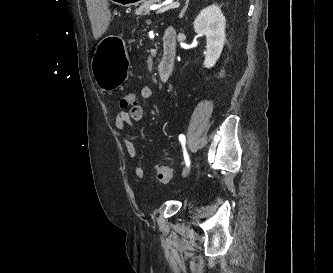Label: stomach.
Masks as SVG:
<instances>
[{
  "label": "stomach",
  "mask_w": 333,
  "mask_h": 273,
  "mask_svg": "<svg viewBox=\"0 0 333 273\" xmlns=\"http://www.w3.org/2000/svg\"><path fill=\"white\" fill-rule=\"evenodd\" d=\"M145 0H112L122 6H137ZM129 59L126 58L122 40L117 36L105 38L98 46L92 61L96 84L103 91L119 87L128 75Z\"/></svg>",
  "instance_id": "0dacf381"
}]
</instances>
